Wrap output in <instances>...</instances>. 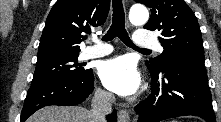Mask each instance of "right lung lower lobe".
Segmentation results:
<instances>
[{
	"label": "right lung lower lobe",
	"mask_w": 221,
	"mask_h": 122,
	"mask_svg": "<svg viewBox=\"0 0 221 122\" xmlns=\"http://www.w3.org/2000/svg\"><path fill=\"white\" fill-rule=\"evenodd\" d=\"M94 76L92 69L80 78H66L32 84L27 92L20 122H24L38 109L48 105H77L92 92ZM110 122H116V111L107 116Z\"/></svg>",
	"instance_id": "1"
}]
</instances>
